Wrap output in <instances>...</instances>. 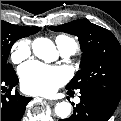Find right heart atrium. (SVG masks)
Listing matches in <instances>:
<instances>
[{"label":"right heart atrium","mask_w":121,"mask_h":121,"mask_svg":"<svg viewBox=\"0 0 121 121\" xmlns=\"http://www.w3.org/2000/svg\"><path fill=\"white\" fill-rule=\"evenodd\" d=\"M31 55V44L27 39L17 41L11 52V59L14 63H20Z\"/></svg>","instance_id":"right-heart-atrium-1"}]
</instances>
